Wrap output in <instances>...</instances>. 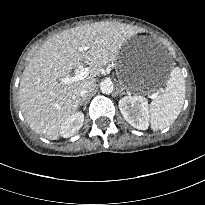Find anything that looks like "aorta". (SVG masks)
Wrapping results in <instances>:
<instances>
[{
    "label": "aorta",
    "instance_id": "762f6f07",
    "mask_svg": "<svg viewBox=\"0 0 205 205\" xmlns=\"http://www.w3.org/2000/svg\"><path fill=\"white\" fill-rule=\"evenodd\" d=\"M114 89L113 82L110 79H104L100 82V90L104 94L112 93Z\"/></svg>",
    "mask_w": 205,
    "mask_h": 205
}]
</instances>
